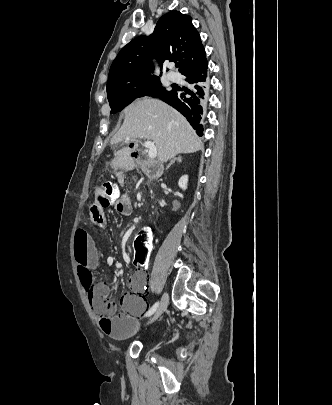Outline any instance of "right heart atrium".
Wrapping results in <instances>:
<instances>
[{
	"mask_svg": "<svg viewBox=\"0 0 332 405\" xmlns=\"http://www.w3.org/2000/svg\"><path fill=\"white\" fill-rule=\"evenodd\" d=\"M140 96L143 97V98L148 97V96H149V92L144 91V92L141 93Z\"/></svg>",
	"mask_w": 332,
	"mask_h": 405,
	"instance_id": "right-heart-atrium-1",
	"label": "right heart atrium"
}]
</instances>
